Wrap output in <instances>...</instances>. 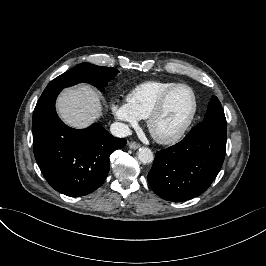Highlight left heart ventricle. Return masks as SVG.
<instances>
[{"label": "left heart ventricle", "mask_w": 266, "mask_h": 266, "mask_svg": "<svg viewBox=\"0 0 266 266\" xmlns=\"http://www.w3.org/2000/svg\"><path fill=\"white\" fill-rule=\"evenodd\" d=\"M193 108L191 91L187 87L177 88L169 97L162 113L154 120V132L161 136L176 134L190 118Z\"/></svg>", "instance_id": "obj_1"}]
</instances>
